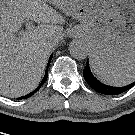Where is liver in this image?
<instances>
[{"label":"liver","mask_w":135,"mask_h":135,"mask_svg":"<svg viewBox=\"0 0 135 135\" xmlns=\"http://www.w3.org/2000/svg\"><path fill=\"white\" fill-rule=\"evenodd\" d=\"M47 0H0V94L20 97L39 84L65 18ZM39 23L21 31L22 23Z\"/></svg>","instance_id":"6515ba94"}]
</instances>
